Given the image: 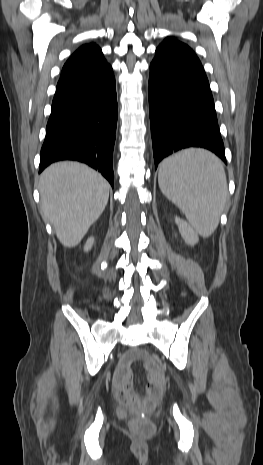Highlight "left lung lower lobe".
<instances>
[{
	"label": "left lung lower lobe",
	"instance_id": "left-lung-lower-lobe-1",
	"mask_svg": "<svg viewBox=\"0 0 263 465\" xmlns=\"http://www.w3.org/2000/svg\"><path fill=\"white\" fill-rule=\"evenodd\" d=\"M149 113L155 168L188 147L206 148L226 163L208 79L187 45L157 47L150 64Z\"/></svg>",
	"mask_w": 263,
	"mask_h": 465
}]
</instances>
